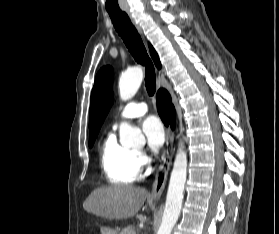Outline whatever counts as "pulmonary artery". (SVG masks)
<instances>
[{"instance_id":"pulmonary-artery-1","label":"pulmonary artery","mask_w":279,"mask_h":234,"mask_svg":"<svg viewBox=\"0 0 279 234\" xmlns=\"http://www.w3.org/2000/svg\"><path fill=\"white\" fill-rule=\"evenodd\" d=\"M147 110H148V107L145 102H138V101L129 102L122 109L120 116H119V121H117L114 124L113 129H117L120 121L142 116L147 112Z\"/></svg>"}]
</instances>
